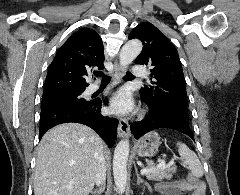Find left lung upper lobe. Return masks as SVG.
Returning a JSON list of instances; mask_svg holds the SVG:
<instances>
[{"label":"left lung upper lobe","instance_id":"1","mask_svg":"<svg viewBox=\"0 0 240 195\" xmlns=\"http://www.w3.org/2000/svg\"><path fill=\"white\" fill-rule=\"evenodd\" d=\"M143 43V51L135 63L152 67L154 81L139 93L151 110L175 109L188 114L187 93L182 63L178 52L164 34L151 23H141L130 33L129 39Z\"/></svg>","mask_w":240,"mask_h":195}]
</instances>
